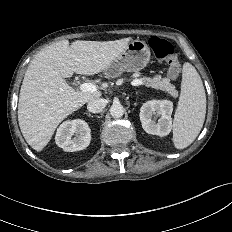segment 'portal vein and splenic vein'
Returning a JSON list of instances; mask_svg holds the SVG:
<instances>
[{
    "mask_svg": "<svg viewBox=\"0 0 232 232\" xmlns=\"http://www.w3.org/2000/svg\"><path fill=\"white\" fill-rule=\"evenodd\" d=\"M132 85L134 86L144 85V81L142 79H135L133 80ZM80 90L83 92L93 93L97 91V87L92 83H82L80 85Z\"/></svg>",
    "mask_w": 232,
    "mask_h": 232,
    "instance_id": "portal-vein-and-splenic-vein-1",
    "label": "portal vein and splenic vein"
}]
</instances>
